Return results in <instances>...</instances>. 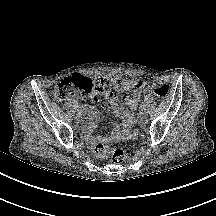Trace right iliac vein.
<instances>
[{"mask_svg": "<svg viewBox=\"0 0 216 216\" xmlns=\"http://www.w3.org/2000/svg\"><path fill=\"white\" fill-rule=\"evenodd\" d=\"M83 116H84V114H83V113H77V116H76V118H77V119H82V118H83Z\"/></svg>", "mask_w": 216, "mask_h": 216, "instance_id": "63e3f726", "label": "right iliac vein"}]
</instances>
